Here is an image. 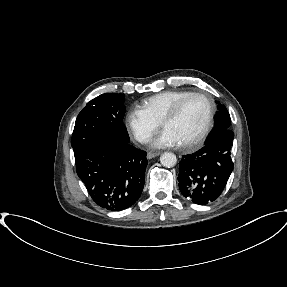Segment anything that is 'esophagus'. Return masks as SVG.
Segmentation results:
<instances>
[{
	"instance_id": "34e87169",
	"label": "esophagus",
	"mask_w": 287,
	"mask_h": 287,
	"mask_svg": "<svg viewBox=\"0 0 287 287\" xmlns=\"http://www.w3.org/2000/svg\"><path fill=\"white\" fill-rule=\"evenodd\" d=\"M159 155H160V152H149V153L147 154V158H148V159H152V158L157 157V156H159Z\"/></svg>"
}]
</instances>
